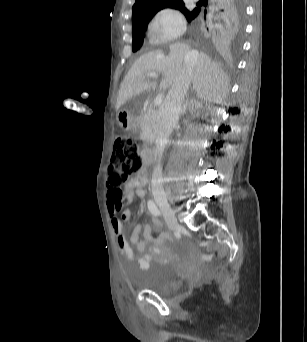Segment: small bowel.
Returning a JSON list of instances; mask_svg holds the SVG:
<instances>
[{
  "mask_svg": "<svg viewBox=\"0 0 307 342\" xmlns=\"http://www.w3.org/2000/svg\"><path fill=\"white\" fill-rule=\"evenodd\" d=\"M146 184V172L144 169H141L129 180L127 184V192L129 194V197L131 198L134 194L143 195L145 193L144 188ZM116 212L117 211L113 206H109L110 224L114 234L118 252L125 259H133L134 252L132 249V245H135L139 252H143L147 247H151L153 249V252L156 253L169 239V235L165 232L161 233L158 237H153L151 226L146 221H142L134 228L130 240H127L124 233L123 222L116 216ZM125 214L129 218V213L125 212ZM153 226L156 229H160L162 227V224L158 219L154 218ZM142 230L144 234V240L139 241V234ZM149 261V256H143L139 259V266L142 269H146L149 266Z\"/></svg>",
  "mask_w": 307,
  "mask_h": 342,
  "instance_id": "small-bowel-1",
  "label": "small bowel"
}]
</instances>
